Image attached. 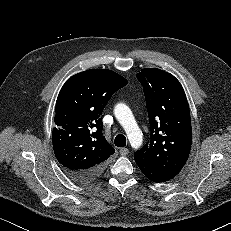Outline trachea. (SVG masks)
<instances>
[{
    "label": "trachea",
    "instance_id": "obj_1",
    "mask_svg": "<svg viewBox=\"0 0 231 231\" xmlns=\"http://www.w3.org/2000/svg\"><path fill=\"white\" fill-rule=\"evenodd\" d=\"M114 144L117 147L126 146V137L123 134H118L114 139Z\"/></svg>",
    "mask_w": 231,
    "mask_h": 231
}]
</instances>
